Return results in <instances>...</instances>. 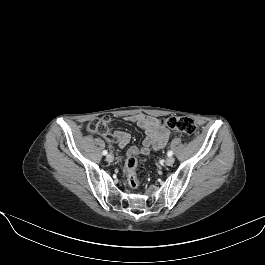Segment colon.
I'll return each instance as SVG.
<instances>
[{
	"instance_id": "5ec220e1",
	"label": "colon",
	"mask_w": 265,
	"mask_h": 265,
	"mask_svg": "<svg viewBox=\"0 0 265 265\" xmlns=\"http://www.w3.org/2000/svg\"><path fill=\"white\" fill-rule=\"evenodd\" d=\"M112 121L111 116L107 115L102 118L93 119L88 124V131L91 133L106 134L110 132L109 125ZM161 124L167 128L180 131L184 134L197 136L199 130L195 122L188 117L171 116L161 120ZM138 167V160L134 156H130L124 166V171L127 177L128 185L131 188H137L139 186V179L136 171Z\"/></svg>"
}]
</instances>
